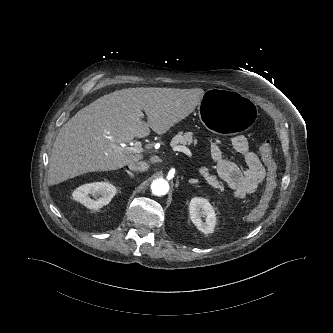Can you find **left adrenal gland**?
Returning <instances> with one entry per match:
<instances>
[{
  "mask_svg": "<svg viewBox=\"0 0 333 333\" xmlns=\"http://www.w3.org/2000/svg\"><path fill=\"white\" fill-rule=\"evenodd\" d=\"M190 184H197L198 180L197 179H189L188 181Z\"/></svg>",
  "mask_w": 333,
  "mask_h": 333,
  "instance_id": "a2214340",
  "label": "left adrenal gland"
}]
</instances>
